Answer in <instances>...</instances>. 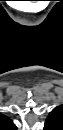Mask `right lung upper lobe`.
Returning a JSON list of instances; mask_svg holds the SVG:
<instances>
[{
    "label": "right lung upper lobe",
    "instance_id": "obj_1",
    "mask_svg": "<svg viewBox=\"0 0 63 130\" xmlns=\"http://www.w3.org/2000/svg\"><path fill=\"white\" fill-rule=\"evenodd\" d=\"M0 122L4 128H7V130H15L16 129V126L13 124V121L5 115L0 116Z\"/></svg>",
    "mask_w": 63,
    "mask_h": 130
}]
</instances>
